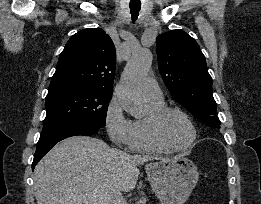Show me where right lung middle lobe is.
<instances>
[{
    "mask_svg": "<svg viewBox=\"0 0 261 204\" xmlns=\"http://www.w3.org/2000/svg\"><path fill=\"white\" fill-rule=\"evenodd\" d=\"M112 92L74 89L47 94L43 130L69 124L106 125Z\"/></svg>",
    "mask_w": 261,
    "mask_h": 204,
    "instance_id": "right-lung-middle-lobe-1",
    "label": "right lung middle lobe"
}]
</instances>
